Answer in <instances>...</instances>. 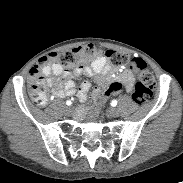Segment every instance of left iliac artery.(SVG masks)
<instances>
[{
    "label": "left iliac artery",
    "mask_w": 183,
    "mask_h": 183,
    "mask_svg": "<svg viewBox=\"0 0 183 183\" xmlns=\"http://www.w3.org/2000/svg\"><path fill=\"white\" fill-rule=\"evenodd\" d=\"M117 103H118L117 100H113L111 104H112V106H116Z\"/></svg>",
    "instance_id": "1"
}]
</instances>
